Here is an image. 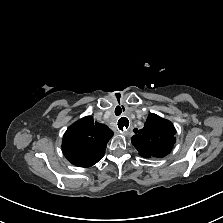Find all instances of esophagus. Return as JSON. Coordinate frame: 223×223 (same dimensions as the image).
Segmentation results:
<instances>
[{
	"instance_id": "1",
	"label": "esophagus",
	"mask_w": 223,
	"mask_h": 223,
	"mask_svg": "<svg viewBox=\"0 0 223 223\" xmlns=\"http://www.w3.org/2000/svg\"><path fill=\"white\" fill-rule=\"evenodd\" d=\"M117 127L120 131L126 133L127 131H129L131 129L132 122L129 118L122 117L118 120Z\"/></svg>"
}]
</instances>
